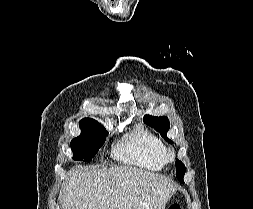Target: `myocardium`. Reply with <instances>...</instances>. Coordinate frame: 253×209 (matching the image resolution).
Masks as SVG:
<instances>
[{
  "label": "myocardium",
  "mask_w": 253,
  "mask_h": 209,
  "mask_svg": "<svg viewBox=\"0 0 253 209\" xmlns=\"http://www.w3.org/2000/svg\"><path fill=\"white\" fill-rule=\"evenodd\" d=\"M164 156H165L166 162H173L174 159H175L174 150L172 148L165 147V149H164Z\"/></svg>",
  "instance_id": "f54148a6"
}]
</instances>
